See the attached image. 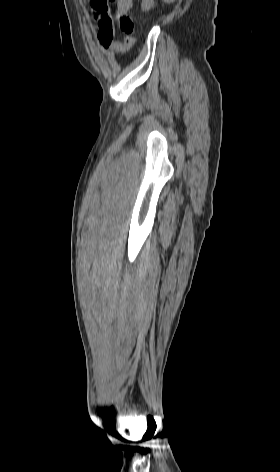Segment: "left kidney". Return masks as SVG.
I'll return each instance as SVG.
<instances>
[{
  "label": "left kidney",
  "instance_id": "left-kidney-1",
  "mask_svg": "<svg viewBox=\"0 0 280 472\" xmlns=\"http://www.w3.org/2000/svg\"><path fill=\"white\" fill-rule=\"evenodd\" d=\"M152 1L153 0H142V9L143 10H149L150 7L152 6ZM164 1H167V0H164Z\"/></svg>",
  "mask_w": 280,
  "mask_h": 472
}]
</instances>
